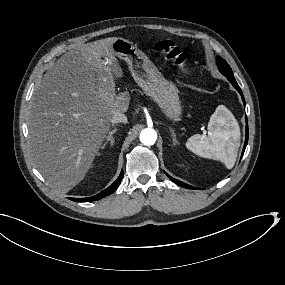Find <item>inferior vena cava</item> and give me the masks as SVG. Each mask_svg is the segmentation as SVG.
<instances>
[{"instance_id": "1", "label": "inferior vena cava", "mask_w": 285, "mask_h": 285, "mask_svg": "<svg viewBox=\"0 0 285 285\" xmlns=\"http://www.w3.org/2000/svg\"><path fill=\"white\" fill-rule=\"evenodd\" d=\"M111 122L113 124L115 123H127V117L125 114L121 113V112H115L112 116Z\"/></svg>"}]
</instances>
